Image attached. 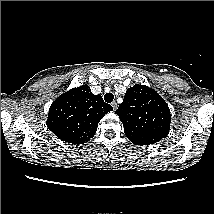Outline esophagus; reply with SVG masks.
Instances as JSON below:
<instances>
[{
  "mask_svg": "<svg viewBox=\"0 0 214 214\" xmlns=\"http://www.w3.org/2000/svg\"><path fill=\"white\" fill-rule=\"evenodd\" d=\"M111 105H112V107H113V110H116V108H117V103H116L115 101H113V102L111 103Z\"/></svg>",
  "mask_w": 214,
  "mask_h": 214,
  "instance_id": "obj_1",
  "label": "esophagus"
}]
</instances>
